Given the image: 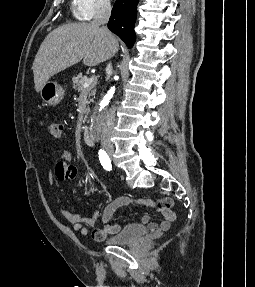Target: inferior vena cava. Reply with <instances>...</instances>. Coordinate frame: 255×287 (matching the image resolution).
Here are the masks:
<instances>
[{
  "mask_svg": "<svg viewBox=\"0 0 255 287\" xmlns=\"http://www.w3.org/2000/svg\"><path fill=\"white\" fill-rule=\"evenodd\" d=\"M110 14H111L110 2H106V0H98V6L92 24H98V26H102L101 32H105V34H111L107 26H104V24H108ZM105 72L107 74V80H108V78H110L112 74L111 64H107ZM114 122H115V110L114 108H110L107 114V124L106 126H103L101 132V145H103V147H113V144L111 142V132L114 128Z\"/></svg>",
  "mask_w": 255,
  "mask_h": 287,
  "instance_id": "inferior-vena-cava-1",
  "label": "inferior vena cava"
}]
</instances>
